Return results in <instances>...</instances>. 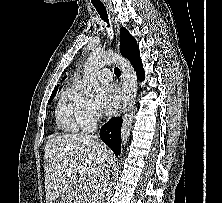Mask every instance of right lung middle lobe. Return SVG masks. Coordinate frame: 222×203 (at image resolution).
Here are the masks:
<instances>
[{
  "label": "right lung middle lobe",
  "mask_w": 222,
  "mask_h": 203,
  "mask_svg": "<svg viewBox=\"0 0 222 203\" xmlns=\"http://www.w3.org/2000/svg\"><path fill=\"white\" fill-rule=\"evenodd\" d=\"M55 94H56V91H54V92L52 93L51 98H50V102H51V99L55 96Z\"/></svg>",
  "instance_id": "1"
}]
</instances>
